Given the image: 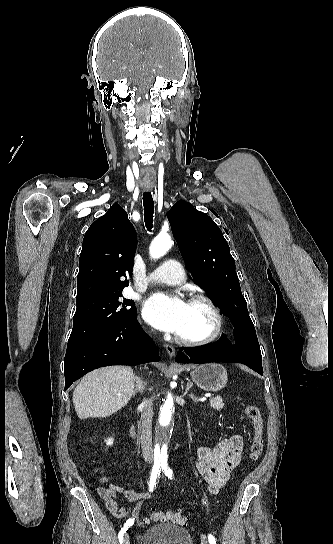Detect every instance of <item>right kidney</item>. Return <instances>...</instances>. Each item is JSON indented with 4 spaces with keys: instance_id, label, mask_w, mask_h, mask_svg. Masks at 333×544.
<instances>
[{
    "instance_id": "1",
    "label": "right kidney",
    "mask_w": 333,
    "mask_h": 544,
    "mask_svg": "<svg viewBox=\"0 0 333 544\" xmlns=\"http://www.w3.org/2000/svg\"><path fill=\"white\" fill-rule=\"evenodd\" d=\"M113 441H114L113 438H108L107 440H105V442H106V444H107L108 446H111V445L113 444Z\"/></svg>"
}]
</instances>
